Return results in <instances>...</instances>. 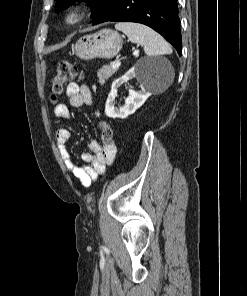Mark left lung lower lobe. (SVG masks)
Masks as SVG:
<instances>
[{
  "mask_svg": "<svg viewBox=\"0 0 247 296\" xmlns=\"http://www.w3.org/2000/svg\"><path fill=\"white\" fill-rule=\"evenodd\" d=\"M107 21L145 24L160 33L181 55L182 39L177 0H111L93 19V25Z\"/></svg>",
  "mask_w": 247,
  "mask_h": 296,
  "instance_id": "left-lung-lower-lobe-1",
  "label": "left lung lower lobe"
}]
</instances>
